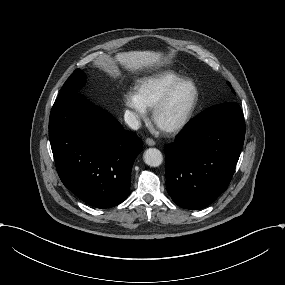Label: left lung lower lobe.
Masks as SVG:
<instances>
[{"label": "left lung lower lobe", "mask_w": 285, "mask_h": 285, "mask_svg": "<svg viewBox=\"0 0 285 285\" xmlns=\"http://www.w3.org/2000/svg\"><path fill=\"white\" fill-rule=\"evenodd\" d=\"M245 137L240 106L223 103L195 117L165 147L166 186L185 209H202L228 187Z\"/></svg>", "instance_id": "1"}]
</instances>
